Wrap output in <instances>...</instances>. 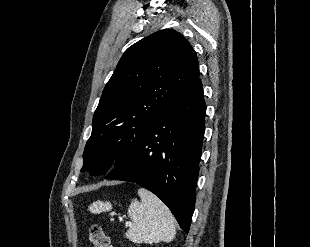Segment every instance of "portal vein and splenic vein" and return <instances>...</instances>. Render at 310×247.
<instances>
[{"mask_svg":"<svg viewBox=\"0 0 310 247\" xmlns=\"http://www.w3.org/2000/svg\"><path fill=\"white\" fill-rule=\"evenodd\" d=\"M126 225H130V223H126Z\"/></svg>","mask_w":310,"mask_h":247,"instance_id":"18ae733b","label":"portal vein and splenic vein"}]
</instances>
